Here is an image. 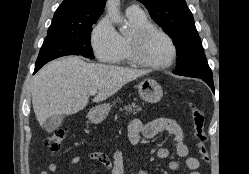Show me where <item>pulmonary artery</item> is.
<instances>
[{"instance_id": "1", "label": "pulmonary artery", "mask_w": 249, "mask_h": 174, "mask_svg": "<svg viewBox=\"0 0 249 174\" xmlns=\"http://www.w3.org/2000/svg\"><path fill=\"white\" fill-rule=\"evenodd\" d=\"M126 13L140 15L144 14L138 5H131L126 9Z\"/></svg>"}]
</instances>
